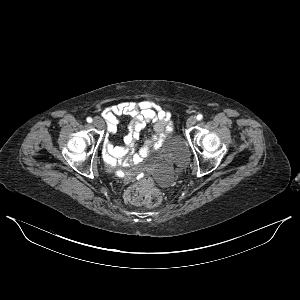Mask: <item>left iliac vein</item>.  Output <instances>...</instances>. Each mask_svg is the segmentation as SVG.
<instances>
[{"instance_id": "left-iliac-vein-1", "label": "left iliac vein", "mask_w": 300, "mask_h": 300, "mask_svg": "<svg viewBox=\"0 0 300 300\" xmlns=\"http://www.w3.org/2000/svg\"><path fill=\"white\" fill-rule=\"evenodd\" d=\"M196 123V117L190 116L187 120V127H192Z\"/></svg>"}]
</instances>
